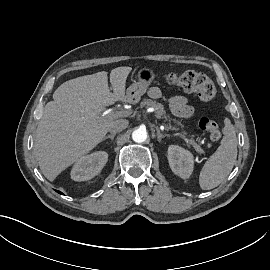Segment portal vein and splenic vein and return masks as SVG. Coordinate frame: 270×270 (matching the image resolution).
Here are the masks:
<instances>
[{
    "mask_svg": "<svg viewBox=\"0 0 270 270\" xmlns=\"http://www.w3.org/2000/svg\"><path fill=\"white\" fill-rule=\"evenodd\" d=\"M151 110L153 111V108H151ZM122 114H123L122 111H114L113 109H107V110H105V111L103 112L102 115H103V116H108V115L120 116V115H122ZM188 141L190 142L191 145H193V147L195 148L196 152H198V153H202V152H203V150L201 149V147L198 146V145L194 142V140L190 139V140H188Z\"/></svg>",
    "mask_w": 270,
    "mask_h": 270,
    "instance_id": "obj_1",
    "label": "portal vein and splenic vein"
}]
</instances>
